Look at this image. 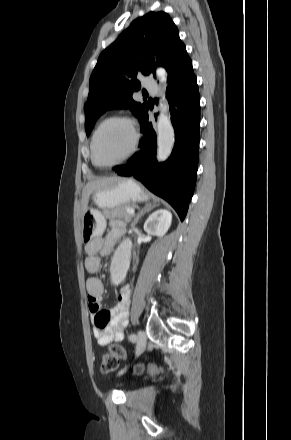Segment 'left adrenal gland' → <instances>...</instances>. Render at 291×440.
<instances>
[{
  "instance_id": "a2214340",
  "label": "left adrenal gland",
  "mask_w": 291,
  "mask_h": 440,
  "mask_svg": "<svg viewBox=\"0 0 291 440\" xmlns=\"http://www.w3.org/2000/svg\"><path fill=\"white\" fill-rule=\"evenodd\" d=\"M154 206H155V205H154ZM154 206L148 205V206L145 207L144 209L140 210V211L137 213L136 217L134 218V220H133L131 226L134 227V226L138 223L139 219H140V218H141V217H142L147 211H149V210H150L152 207H154Z\"/></svg>"
}]
</instances>
